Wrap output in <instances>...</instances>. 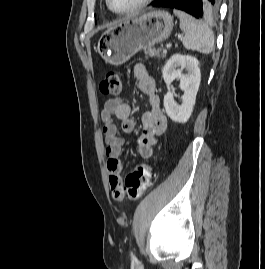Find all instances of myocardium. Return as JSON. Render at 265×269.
Masks as SVG:
<instances>
[{"mask_svg": "<svg viewBox=\"0 0 265 269\" xmlns=\"http://www.w3.org/2000/svg\"><path fill=\"white\" fill-rule=\"evenodd\" d=\"M153 0H141L139 1L136 5H134L132 8L126 9V10H116L112 7L111 1L106 0L107 7L109 8L110 11H112L115 14H130L139 11L140 9L144 8L147 6L149 3H151Z\"/></svg>", "mask_w": 265, "mask_h": 269, "instance_id": "obj_1", "label": "myocardium"}]
</instances>
